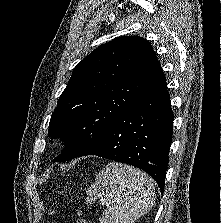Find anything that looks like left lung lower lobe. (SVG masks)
<instances>
[{"instance_id": "obj_1", "label": "left lung lower lobe", "mask_w": 221, "mask_h": 223, "mask_svg": "<svg viewBox=\"0 0 221 223\" xmlns=\"http://www.w3.org/2000/svg\"><path fill=\"white\" fill-rule=\"evenodd\" d=\"M173 112L164 73L78 157L97 155L146 171L164 191Z\"/></svg>"}]
</instances>
